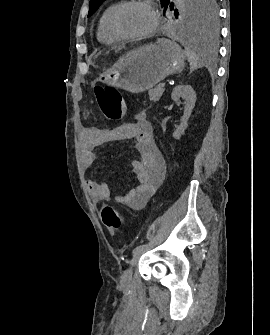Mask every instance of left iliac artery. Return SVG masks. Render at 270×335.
<instances>
[{
    "label": "left iliac artery",
    "mask_w": 270,
    "mask_h": 335,
    "mask_svg": "<svg viewBox=\"0 0 270 335\" xmlns=\"http://www.w3.org/2000/svg\"><path fill=\"white\" fill-rule=\"evenodd\" d=\"M152 246V244H143V245H139L137 246L134 250H133V254L140 252V251H144L148 248H150Z\"/></svg>",
    "instance_id": "left-iliac-artery-1"
}]
</instances>
